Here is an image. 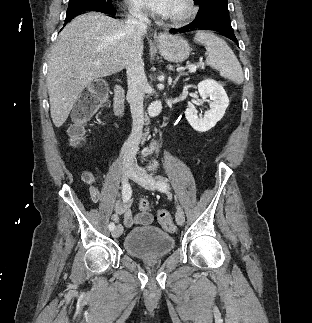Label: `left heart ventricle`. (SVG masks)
Wrapping results in <instances>:
<instances>
[{
  "label": "left heart ventricle",
  "instance_id": "left-heart-ventricle-1",
  "mask_svg": "<svg viewBox=\"0 0 312 323\" xmlns=\"http://www.w3.org/2000/svg\"><path fill=\"white\" fill-rule=\"evenodd\" d=\"M173 7H174V9H181L182 4H181V2H174Z\"/></svg>",
  "mask_w": 312,
  "mask_h": 323
}]
</instances>
